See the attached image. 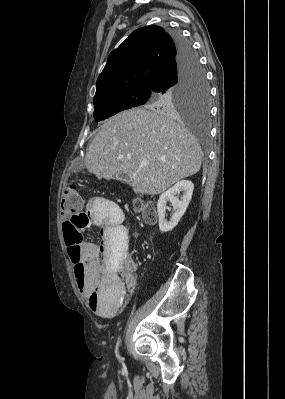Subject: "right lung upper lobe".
I'll return each instance as SVG.
<instances>
[{"label":"right lung upper lobe","mask_w":285,"mask_h":399,"mask_svg":"<svg viewBox=\"0 0 285 399\" xmlns=\"http://www.w3.org/2000/svg\"><path fill=\"white\" fill-rule=\"evenodd\" d=\"M176 56L175 42L162 27L135 30L110 53L97 79L94 99L131 89H151L160 72Z\"/></svg>","instance_id":"1"}]
</instances>
